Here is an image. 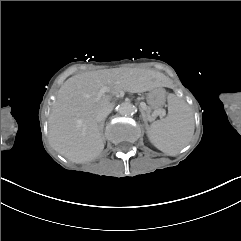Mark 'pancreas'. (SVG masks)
Listing matches in <instances>:
<instances>
[{
	"instance_id": "pancreas-1",
	"label": "pancreas",
	"mask_w": 241,
	"mask_h": 241,
	"mask_svg": "<svg viewBox=\"0 0 241 241\" xmlns=\"http://www.w3.org/2000/svg\"><path fill=\"white\" fill-rule=\"evenodd\" d=\"M147 112H148L149 115H150V113H151V109H150V107H147Z\"/></svg>"
}]
</instances>
